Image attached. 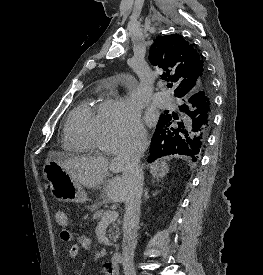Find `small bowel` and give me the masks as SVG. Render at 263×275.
Segmentation results:
<instances>
[{
	"label": "small bowel",
	"instance_id": "c3829d8e",
	"mask_svg": "<svg viewBox=\"0 0 263 275\" xmlns=\"http://www.w3.org/2000/svg\"><path fill=\"white\" fill-rule=\"evenodd\" d=\"M68 232L70 234L69 240H65L62 237V232L60 233V237L64 242H69L73 238L72 233L70 231H68ZM90 247H91V239L88 236L81 235L77 238V242L70 246L69 251H68L69 257L73 260H76L79 257L82 250H88ZM104 274L105 275H117V270L109 271L108 269L105 268Z\"/></svg>",
	"mask_w": 263,
	"mask_h": 275
}]
</instances>
